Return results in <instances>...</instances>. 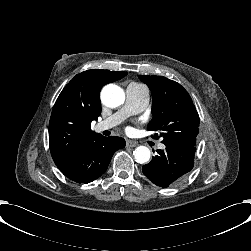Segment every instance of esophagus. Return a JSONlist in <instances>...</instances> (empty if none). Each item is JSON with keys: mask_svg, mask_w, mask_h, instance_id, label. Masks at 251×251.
Here are the masks:
<instances>
[{"mask_svg": "<svg viewBox=\"0 0 251 251\" xmlns=\"http://www.w3.org/2000/svg\"><path fill=\"white\" fill-rule=\"evenodd\" d=\"M137 145H138V143L136 141H132V140H127L126 141V146L127 147H135Z\"/></svg>", "mask_w": 251, "mask_h": 251, "instance_id": "obj_1", "label": "esophagus"}]
</instances>
